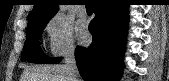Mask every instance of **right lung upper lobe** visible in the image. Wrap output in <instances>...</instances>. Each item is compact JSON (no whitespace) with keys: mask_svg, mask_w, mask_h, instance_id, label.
Returning <instances> with one entry per match:
<instances>
[{"mask_svg":"<svg viewBox=\"0 0 169 81\" xmlns=\"http://www.w3.org/2000/svg\"><path fill=\"white\" fill-rule=\"evenodd\" d=\"M34 8L29 17V24L42 20H50L58 11L61 0H34Z\"/></svg>","mask_w":169,"mask_h":81,"instance_id":"right-lung-upper-lobe-1","label":"right lung upper lobe"}]
</instances>
